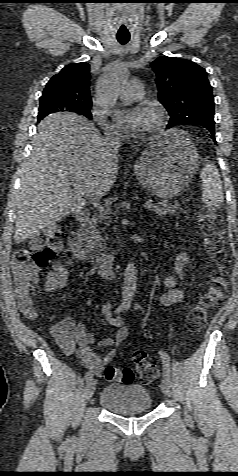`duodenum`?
<instances>
[{
	"label": "duodenum",
	"mask_w": 238,
	"mask_h": 476,
	"mask_svg": "<svg viewBox=\"0 0 238 476\" xmlns=\"http://www.w3.org/2000/svg\"><path fill=\"white\" fill-rule=\"evenodd\" d=\"M88 220L89 214L86 212H80L76 216L77 228L70 232L68 248L76 259L89 264L101 277H112L116 271L118 256L114 254H96L86 246L81 231Z\"/></svg>",
	"instance_id": "obj_1"
}]
</instances>
